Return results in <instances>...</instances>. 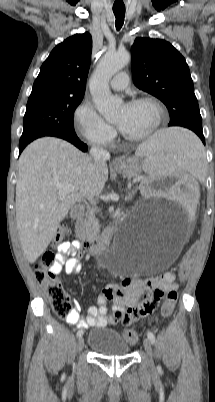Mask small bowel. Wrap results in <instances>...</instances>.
Listing matches in <instances>:
<instances>
[{
  "label": "small bowel",
  "mask_w": 215,
  "mask_h": 402,
  "mask_svg": "<svg viewBox=\"0 0 215 402\" xmlns=\"http://www.w3.org/2000/svg\"><path fill=\"white\" fill-rule=\"evenodd\" d=\"M78 241H65L58 245L56 261L51 270L58 274L62 270L68 275H76L81 271L82 264L76 257L80 250ZM70 256V258H66ZM174 275L165 274L145 279L124 278L119 284L107 285L98 297V306H91L87 316H82L81 305L78 300L73 301V308L65 316L69 324L76 325L80 330L90 327H106L116 323L128 326L135 321L149 315L144 309L153 305L160 293L169 289H176ZM113 302V311L108 315L107 303Z\"/></svg>",
  "instance_id": "obj_1"
}]
</instances>
